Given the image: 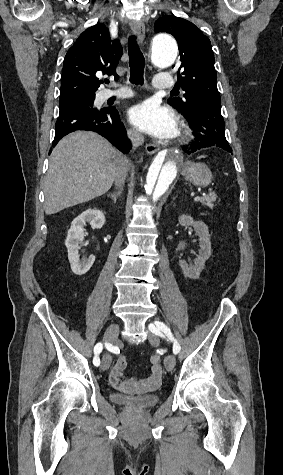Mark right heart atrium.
I'll use <instances>...</instances> for the list:
<instances>
[{
    "label": "right heart atrium",
    "mask_w": 283,
    "mask_h": 475,
    "mask_svg": "<svg viewBox=\"0 0 283 475\" xmlns=\"http://www.w3.org/2000/svg\"><path fill=\"white\" fill-rule=\"evenodd\" d=\"M128 137L130 140V143L134 146L137 147L140 144V139L137 135H135L133 132L128 133Z\"/></svg>",
    "instance_id": "1"
}]
</instances>
